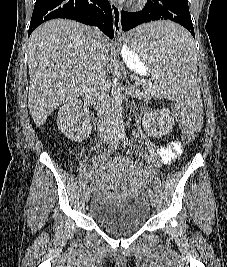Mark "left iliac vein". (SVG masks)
<instances>
[{"mask_svg": "<svg viewBox=\"0 0 227 267\" xmlns=\"http://www.w3.org/2000/svg\"><path fill=\"white\" fill-rule=\"evenodd\" d=\"M148 196L150 198L152 206H155L156 205L155 194L151 188L148 189Z\"/></svg>", "mask_w": 227, "mask_h": 267, "instance_id": "4c4485c4", "label": "left iliac vein"}]
</instances>
